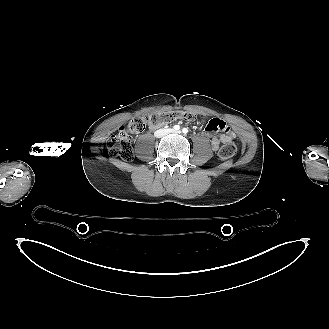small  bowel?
Instances as JSON below:
<instances>
[{
    "label": "small bowel",
    "mask_w": 329,
    "mask_h": 329,
    "mask_svg": "<svg viewBox=\"0 0 329 329\" xmlns=\"http://www.w3.org/2000/svg\"><path fill=\"white\" fill-rule=\"evenodd\" d=\"M204 135L211 139L213 149H217L221 142L235 138L230 127L218 118H212L204 129Z\"/></svg>",
    "instance_id": "c3829d8e"
}]
</instances>
